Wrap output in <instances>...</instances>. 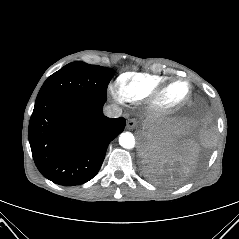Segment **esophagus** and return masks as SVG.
I'll return each mask as SVG.
<instances>
[{
  "label": "esophagus",
  "mask_w": 239,
  "mask_h": 239,
  "mask_svg": "<svg viewBox=\"0 0 239 239\" xmlns=\"http://www.w3.org/2000/svg\"><path fill=\"white\" fill-rule=\"evenodd\" d=\"M137 125V120L134 118H131L127 121V128L133 129Z\"/></svg>",
  "instance_id": "obj_1"
}]
</instances>
